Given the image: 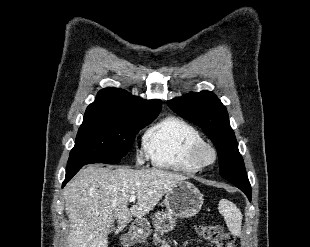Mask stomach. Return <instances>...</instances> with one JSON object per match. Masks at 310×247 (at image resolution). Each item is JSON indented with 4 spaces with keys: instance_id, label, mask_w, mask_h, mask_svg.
Segmentation results:
<instances>
[{
    "instance_id": "obj_1",
    "label": "stomach",
    "mask_w": 310,
    "mask_h": 247,
    "mask_svg": "<svg viewBox=\"0 0 310 247\" xmlns=\"http://www.w3.org/2000/svg\"><path fill=\"white\" fill-rule=\"evenodd\" d=\"M203 195L194 184L188 181L177 183L166 193L163 201L165 211L156 212L152 218L156 231L170 232L177 218H191L201 209ZM151 224L144 218H138L132 225V240L144 242L151 233Z\"/></svg>"
}]
</instances>
